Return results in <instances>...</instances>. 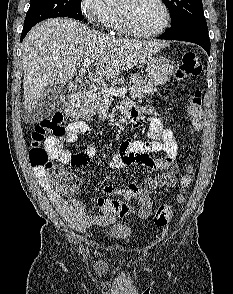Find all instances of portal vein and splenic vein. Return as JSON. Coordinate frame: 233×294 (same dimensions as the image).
I'll use <instances>...</instances> for the list:
<instances>
[{
	"mask_svg": "<svg viewBox=\"0 0 233 294\" xmlns=\"http://www.w3.org/2000/svg\"><path fill=\"white\" fill-rule=\"evenodd\" d=\"M91 66V60L90 59H84L82 61V67L87 69ZM101 90L104 92L105 96L107 98H111L113 96H123L127 93L126 88H107V87H102Z\"/></svg>",
	"mask_w": 233,
	"mask_h": 294,
	"instance_id": "portal-vein-and-splenic-vein-1",
	"label": "portal vein and splenic vein"
}]
</instances>
